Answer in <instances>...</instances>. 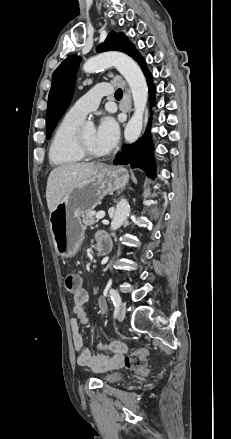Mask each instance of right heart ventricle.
<instances>
[{
    "label": "right heart ventricle",
    "instance_id": "e07e8e85",
    "mask_svg": "<svg viewBox=\"0 0 231 439\" xmlns=\"http://www.w3.org/2000/svg\"><path fill=\"white\" fill-rule=\"evenodd\" d=\"M81 121L65 116L58 124L50 145L48 156L50 163L57 167H69L81 162L84 157L75 147L74 137Z\"/></svg>",
    "mask_w": 231,
    "mask_h": 439
}]
</instances>
